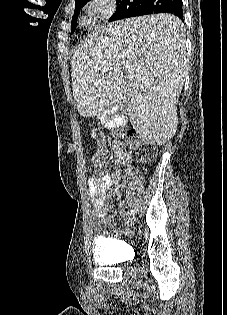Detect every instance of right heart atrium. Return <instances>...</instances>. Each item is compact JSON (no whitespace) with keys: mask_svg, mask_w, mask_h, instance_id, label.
<instances>
[{"mask_svg":"<svg viewBox=\"0 0 227 315\" xmlns=\"http://www.w3.org/2000/svg\"><path fill=\"white\" fill-rule=\"evenodd\" d=\"M86 7L92 21L96 25H101L114 14L116 0H89Z\"/></svg>","mask_w":227,"mask_h":315,"instance_id":"d8ad5b80","label":"right heart atrium"}]
</instances>
